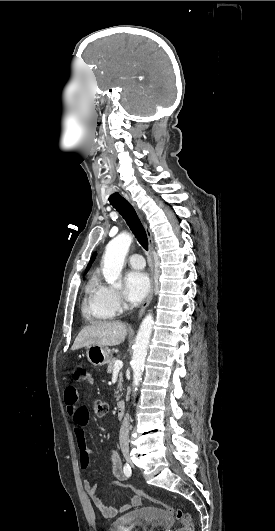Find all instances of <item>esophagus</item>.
Masks as SVG:
<instances>
[{
  "mask_svg": "<svg viewBox=\"0 0 275 531\" xmlns=\"http://www.w3.org/2000/svg\"><path fill=\"white\" fill-rule=\"evenodd\" d=\"M145 231L147 233V238H148V244H149V248H150V251L151 253L153 252V249H154V243H153V236H152V232L151 230L149 229L148 225L145 224ZM151 273H150V292L147 296V299L143 302L140 310H139V313H138V317H141V315L144 313V311L146 310L147 306L149 305L152 297H153V292H154V260L152 259L151 261Z\"/></svg>",
  "mask_w": 275,
  "mask_h": 531,
  "instance_id": "1",
  "label": "esophagus"
}]
</instances>
